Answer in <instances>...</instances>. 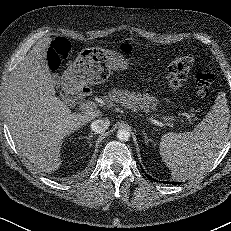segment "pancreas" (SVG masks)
Listing matches in <instances>:
<instances>
[{"label":"pancreas","mask_w":231,"mask_h":231,"mask_svg":"<svg viewBox=\"0 0 231 231\" xmlns=\"http://www.w3.org/2000/svg\"><path fill=\"white\" fill-rule=\"evenodd\" d=\"M109 99L113 102L119 103L127 109L146 110L156 105L157 100L150 97L148 94H141L130 92L128 90L112 89L108 92Z\"/></svg>","instance_id":"obj_1"}]
</instances>
